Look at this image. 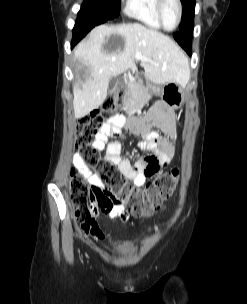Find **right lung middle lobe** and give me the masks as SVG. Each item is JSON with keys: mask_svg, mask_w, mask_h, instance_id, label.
<instances>
[{"mask_svg": "<svg viewBox=\"0 0 247 304\" xmlns=\"http://www.w3.org/2000/svg\"><path fill=\"white\" fill-rule=\"evenodd\" d=\"M119 12L120 0H84L78 17L112 20Z\"/></svg>", "mask_w": 247, "mask_h": 304, "instance_id": "1", "label": "right lung middle lobe"}]
</instances>
